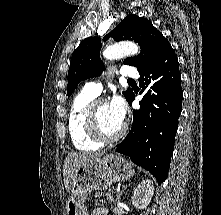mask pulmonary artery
Here are the masks:
<instances>
[{"mask_svg":"<svg viewBox=\"0 0 221 215\" xmlns=\"http://www.w3.org/2000/svg\"><path fill=\"white\" fill-rule=\"evenodd\" d=\"M120 75L122 77L135 79V78H138L139 73L135 67L125 65L120 68ZM101 90H102V86H101V83L99 82L92 81V82H88L85 85V91L93 96H98Z\"/></svg>","mask_w":221,"mask_h":215,"instance_id":"pulmonary-artery-1","label":"pulmonary artery"}]
</instances>
